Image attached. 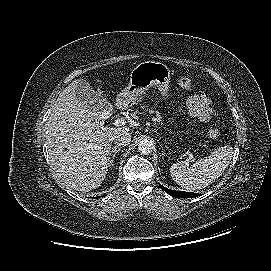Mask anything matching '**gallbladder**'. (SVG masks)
<instances>
[{
  "instance_id": "1",
  "label": "gallbladder",
  "mask_w": 271,
  "mask_h": 271,
  "mask_svg": "<svg viewBox=\"0 0 271 271\" xmlns=\"http://www.w3.org/2000/svg\"><path fill=\"white\" fill-rule=\"evenodd\" d=\"M76 97L79 103L91 111L100 113L107 117L112 112V105L99 91L93 90L84 79H79L76 84Z\"/></svg>"
}]
</instances>
